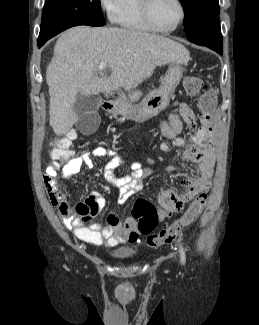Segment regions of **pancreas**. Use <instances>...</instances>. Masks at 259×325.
<instances>
[{
  "label": "pancreas",
  "mask_w": 259,
  "mask_h": 325,
  "mask_svg": "<svg viewBox=\"0 0 259 325\" xmlns=\"http://www.w3.org/2000/svg\"><path fill=\"white\" fill-rule=\"evenodd\" d=\"M141 96H142V92L140 90H136L129 93L127 97L124 95L120 96L118 101L123 102L125 104H129L138 101Z\"/></svg>",
  "instance_id": "obj_1"
}]
</instances>
